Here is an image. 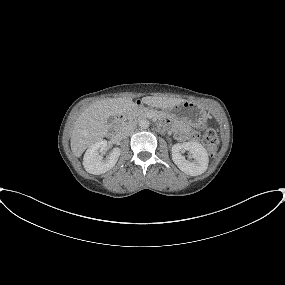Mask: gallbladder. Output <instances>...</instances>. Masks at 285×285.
<instances>
[{
	"mask_svg": "<svg viewBox=\"0 0 285 285\" xmlns=\"http://www.w3.org/2000/svg\"><path fill=\"white\" fill-rule=\"evenodd\" d=\"M107 123L110 125L113 124L114 123V117L113 116L109 117L107 120Z\"/></svg>",
	"mask_w": 285,
	"mask_h": 285,
	"instance_id": "obj_1",
	"label": "gallbladder"
}]
</instances>
